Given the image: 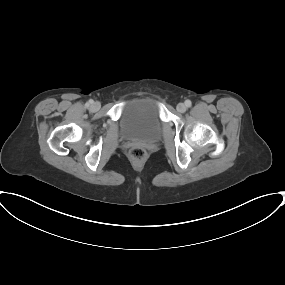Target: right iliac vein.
Listing matches in <instances>:
<instances>
[{"mask_svg":"<svg viewBox=\"0 0 285 285\" xmlns=\"http://www.w3.org/2000/svg\"><path fill=\"white\" fill-rule=\"evenodd\" d=\"M99 107H100V105H99L98 102L93 103L92 106H91V108H92L93 110H97V109H99Z\"/></svg>","mask_w":285,"mask_h":285,"instance_id":"right-iliac-vein-1","label":"right iliac vein"}]
</instances>
